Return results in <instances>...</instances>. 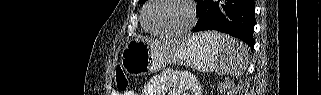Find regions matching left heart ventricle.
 I'll use <instances>...</instances> for the list:
<instances>
[{
	"mask_svg": "<svg viewBox=\"0 0 321 95\" xmlns=\"http://www.w3.org/2000/svg\"><path fill=\"white\" fill-rule=\"evenodd\" d=\"M147 22L158 32L179 30L188 22V9L180 0H158L150 7Z\"/></svg>",
	"mask_w": 321,
	"mask_h": 95,
	"instance_id": "1",
	"label": "left heart ventricle"
}]
</instances>
